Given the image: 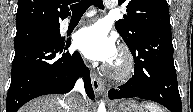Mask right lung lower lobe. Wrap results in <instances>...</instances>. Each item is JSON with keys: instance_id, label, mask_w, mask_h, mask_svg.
I'll list each match as a JSON object with an SVG mask.
<instances>
[{"instance_id": "right-lung-lower-lobe-1", "label": "right lung lower lobe", "mask_w": 193, "mask_h": 112, "mask_svg": "<svg viewBox=\"0 0 193 112\" xmlns=\"http://www.w3.org/2000/svg\"><path fill=\"white\" fill-rule=\"evenodd\" d=\"M71 41L49 33L15 48L6 111L16 112L31 99L45 94H64L84 76L85 91L94 99L90 72L79 52H65Z\"/></svg>"}]
</instances>
